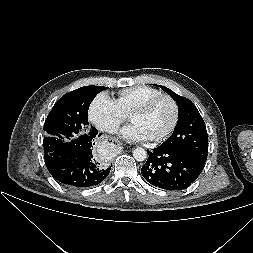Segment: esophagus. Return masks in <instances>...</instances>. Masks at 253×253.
<instances>
[{
  "label": "esophagus",
  "mask_w": 253,
  "mask_h": 253,
  "mask_svg": "<svg viewBox=\"0 0 253 253\" xmlns=\"http://www.w3.org/2000/svg\"><path fill=\"white\" fill-rule=\"evenodd\" d=\"M111 141H112V143L116 144L117 146L121 145L120 141H118V140L112 139Z\"/></svg>",
  "instance_id": "obj_1"
}]
</instances>
